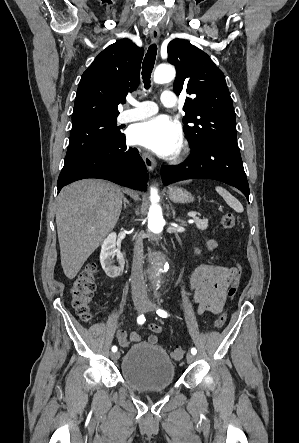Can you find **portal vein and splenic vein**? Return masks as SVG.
Wrapping results in <instances>:
<instances>
[{"instance_id":"1","label":"portal vein and splenic vein","mask_w":299,"mask_h":443,"mask_svg":"<svg viewBox=\"0 0 299 443\" xmlns=\"http://www.w3.org/2000/svg\"><path fill=\"white\" fill-rule=\"evenodd\" d=\"M196 215H197L196 212H189V213H188V216H189V217H192V218H195Z\"/></svg>"}]
</instances>
